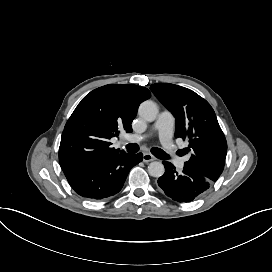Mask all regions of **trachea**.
<instances>
[{
    "mask_svg": "<svg viewBox=\"0 0 272 272\" xmlns=\"http://www.w3.org/2000/svg\"><path fill=\"white\" fill-rule=\"evenodd\" d=\"M125 148L129 153H136L139 150V146L136 143L125 145ZM151 152L159 159L167 158V154L159 148L153 147Z\"/></svg>",
    "mask_w": 272,
    "mask_h": 272,
    "instance_id": "trachea-1",
    "label": "trachea"
}]
</instances>
